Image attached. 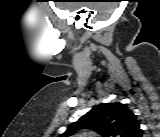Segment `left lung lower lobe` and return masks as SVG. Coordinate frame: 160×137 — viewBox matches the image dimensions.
Returning a JSON list of instances; mask_svg holds the SVG:
<instances>
[{"instance_id": "1", "label": "left lung lower lobe", "mask_w": 160, "mask_h": 137, "mask_svg": "<svg viewBox=\"0 0 160 137\" xmlns=\"http://www.w3.org/2000/svg\"><path fill=\"white\" fill-rule=\"evenodd\" d=\"M141 129L138 127L136 131L133 133L132 137H141Z\"/></svg>"}]
</instances>
